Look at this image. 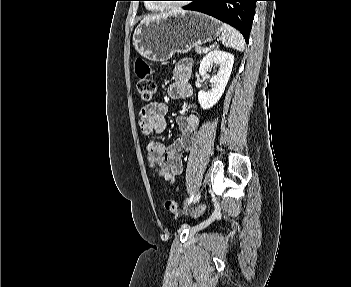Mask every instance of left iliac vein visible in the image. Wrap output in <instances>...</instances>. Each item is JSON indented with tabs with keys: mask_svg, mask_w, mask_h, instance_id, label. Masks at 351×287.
<instances>
[{
	"mask_svg": "<svg viewBox=\"0 0 351 287\" xmlns=\"http://www.w3.org/2000/svg\"><path fill=\"white\" fill-rule=\"evenodd\" d=\"M199 198H200V193H198L197 196L194 198L193 205H195L198 202Z\"/></svg>",
	"mask_w": 351,
	"mask_h": 287,
	"instance_id": "4c4485c4",
	"label": "left iliac vein"
}]
</instances>
